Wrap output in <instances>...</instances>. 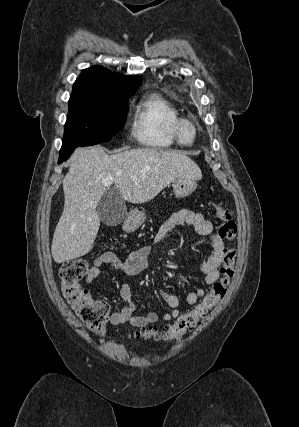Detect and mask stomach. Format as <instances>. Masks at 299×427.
Listing matches in <instances>:
<instances>
[{
	"label": "stomach",
	"instance_id": "obj_1",
	"mask_svg": "<svg viewBox=\"0 0 299 427\" xmlns=\"http://www.w3.org/2000/svg\"><path fill=\"white\" fill-rule=\"evenodd\" d=\"M196 180L191 178H182L173 182V191L176 198H186L196 189ZM146 220L145 211L135 210L125 222L126 229L129 231L136 230Z\"/></svg>",
	"mask_w": 299,
	"mask_h": 427
}]
</instances>
